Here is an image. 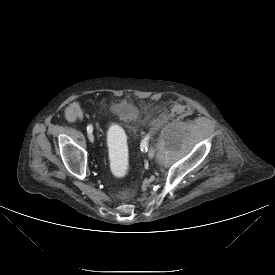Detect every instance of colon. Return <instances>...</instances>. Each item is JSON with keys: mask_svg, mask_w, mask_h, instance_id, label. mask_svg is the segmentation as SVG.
Wrapping results in <instances>:
<instances>
[{"mask_svg": "<svg viewBox=\"0 0 275 275\" xmlns=\"http://www.w3.org/2000/svg\"><path fill=\"white\" fill-rule=\"evenodd\" d=\"M109 138V163L110 170L115 177L121 178L127 175L128 147L123 132L117 128H111L108 133Z\"/></svg>", "mask_w": 275, "mask_h": 275, "instance_id": "colon-1", "label": "colon"}]
</instances>
